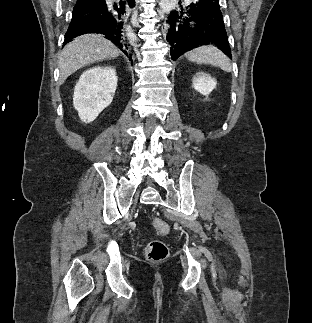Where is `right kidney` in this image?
<instances>
[{
	"label": "right kidney",
	"mask_w": 312,
	"mask_h": 323,
	"mask_svg": "<svg viewBox=\"0 0 312 323\" xmlns=\"http://www.w3.org/2000/svg\"><path fill=\"white\" fill-rule=\"evenodd\" d=\"M117 88L113 66H94L83 72L75 86L73 106L82 122H93L98 114L110 106Z\"/></svg>",
	"instance_id": "obj_1"
}]
</instances>
